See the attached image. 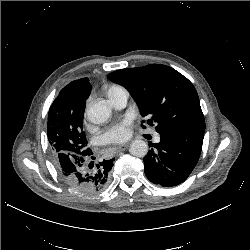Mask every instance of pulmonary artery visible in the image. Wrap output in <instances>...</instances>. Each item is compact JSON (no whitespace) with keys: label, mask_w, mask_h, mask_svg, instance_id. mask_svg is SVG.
I'll use <instances>...</instances> for the list:
<instances>
[{"label":"pulmonary artery","mask_w":250,"mask_h":250,"mask_svg":"<svg viewBox=\"0 0 250 250\" xmlns=\"http://www.w3.org/2000/svg\"><path fill=\"white\" fill-rule=\"evenodd\" d=\"M108 96L115 108L121 109L127 104L128 92L123 88L110 93ZM155 140L159 141V137L156 136Z\"/></svg>","instance_id":"1"}]
</instances>
